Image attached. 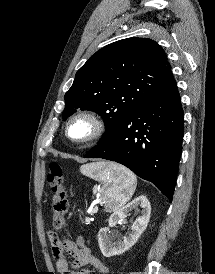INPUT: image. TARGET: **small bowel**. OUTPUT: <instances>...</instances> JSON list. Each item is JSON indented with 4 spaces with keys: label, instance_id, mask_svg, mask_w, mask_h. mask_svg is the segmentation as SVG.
Instances as JSON below:
<instances>
[{
    "label": "small bowel",
    "instance_id": "c3829d8e",
    "mask_svg": "<svg viewBox=\"0 0 215 274\" xmlns=\"http://www.w3.org/2000/svg\"><path fill=\"white\" fill-rule=\"evenodd\" d=\"M50 239L51 249L56 261V268L60 274H90L86 267H93L98 274H108V267L85 245L82 237L76 240L58 238ZM67 255L73 261L69 262Z\"/></svg>",
    "mask_w": 215,
    "mask_h": 274
}]
</instances>
